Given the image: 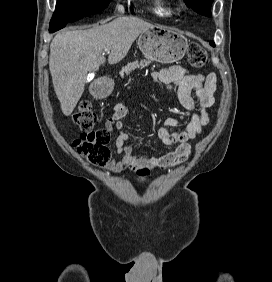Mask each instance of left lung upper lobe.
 Returning a JSON list of instances; mask_svg holds the SVG:
<instances>
[{
  "instance_id": "obj_1",
  "label": "left lung upper lobe",
  "mask_w": 272,
  "mask_h": 282,
  "mask_svg": "<svg viewBox=\"0 0 272 282\" xmlns=\"http://www.w3.org/2000/svg\"><path fill=\"white\" fill-rule=\"evenodd\" d=\"M186 5L199 14L210 17L213 0H184Z\"/></svg>"
}]
</instances>
